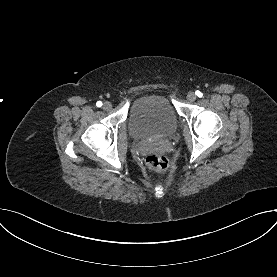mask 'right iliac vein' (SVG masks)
<instances>
[{
	"label": "right iliac vein",
	"mask_w": 277,
	"mask_h": 277,
	"mask_svg": "<svg viewBox=\"0 0 277 277\" xmlns=\"http://www.w3.org/2000/svg\"><path fill=\"white\" fill-rule=\"evenodd\" d=\"M103 109L106 110V111L111 110L112 109V104L108 101L104 102Z\"/></svg>",
	"instance_id": "63e3f726"
}]
</instances>
